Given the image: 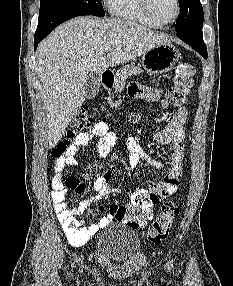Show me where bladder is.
I'll list each match as a JSON object with an SVG mask.
<instances>
[{"mask_svg":"<svg viewBox=\"0 0 233 286\" xmlns=\"http://www.w3.org/2000/svg\"><path fill=\"white\" fill-rule=\"evenodd\" d=\"M143 247L139 236L122 224L110 225L101 235L93 250L98 262L124 265L142 255Z\"/></svg>","mask_w":233,"mask_h":286,"instance_id":"1","label":"bladder"}]
</instances>
